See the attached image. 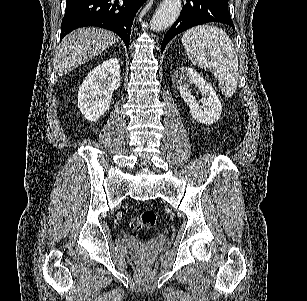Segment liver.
Instances as JSON below:
<instances>
[{
	"label": "liver",
	"instance_id": "liver-1",
	"mask_svg": "<svg viewBox=\"0 0 307 301\" xmlns=\"http://www.w3.org/2000/svg\"><path fill=\"white\" fill-rule=\"evenodd\" d=\"M115 42H119L118 36L105 28L87 26L72 30L70 34L64 36L61 46L55 52L53 62L58 76H63L74 70L76 66L88 62Z\"/></svg>",
	"mask_w": 307,
	"mask_h": 301
}]
</instances>
